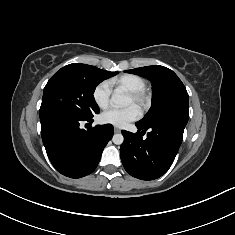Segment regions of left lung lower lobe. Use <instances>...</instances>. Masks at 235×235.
<instances>
[{"mask_svg": "<svg viewBox=\"0 0 235 235\" xmlns=\"http://www.w3.org/2000/svg\"><path fill=\"white\" fill-rule=\"evenodd\" d=\"M137 133L122 131L124 142L120 155L125 170L141 180L157 179L172 165L183 139L185 125L158 122L151 125L136 123ZM147 133V138L142 135Z\"/></svg>", "mask_w": 235, "mask_h": 235, "instance_id": "left-lung-lower-lobe-1", "label": "left lung lower lobe"}]
</instances>
